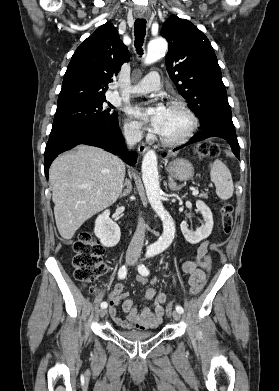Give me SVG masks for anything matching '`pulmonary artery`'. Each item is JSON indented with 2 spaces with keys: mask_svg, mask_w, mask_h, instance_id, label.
<instances>
[{
  "mask_svg": "<svg viewBox=\"0 0 279 391\" xmlns=\"http://www.w3.org/2000/svg\"><path fill=\"white\" fill-rule=\"evenodd\" d=\"M160 75L158 72L148 73L138 84L134 85L128 93L131 95H141L155 92L160 89Z\"/></svg>",
  "mask_w": 279,
  "mask_h": 391,
  "instance_id": "1",
  "label": "pulmonary artery"
}]
</instances>
